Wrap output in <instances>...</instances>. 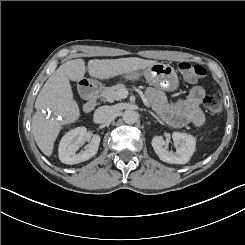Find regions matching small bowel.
<instances>
[{"label":"small bowel","mask_w":245,"mask_h":245,"mask_svg":"<svg viewBox=\"0 0 245 245\" xmlns=\"http://www.w3.org/2000/svg\"><path fill=\"white\" fill-rule=\"evenodd\" d=\"M205 95L203 87L194 86L185 99L169 103L161 90L151 87L146 91L147 101L157 114L173 127H183L188 124L202 126L205 123V115L201 106Z\"/></svg>","instance_id":"c3829d8e"}]
</instances>
